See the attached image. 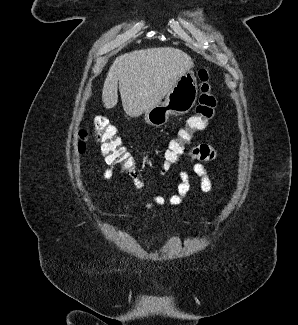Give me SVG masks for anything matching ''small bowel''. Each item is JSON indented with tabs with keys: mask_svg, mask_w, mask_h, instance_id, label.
I'll return each instance as SVG.
<instances>
[{
	"mask_svg": "<svg viewBox=\"0 0 298 325\" xmlns=\"http://www.w3.org/2000/svg\"><path fill=\"white\" fill-rule=\"evenodd\" d=\"M190 160L194 161L193 171L200 178V188L203 192L208 193L212 189L213 179L208 174L204 162L212 161L216 157V153L212 147L206 144H200L193 147L188 154ZM106 160V159H105ZM107 164L110 165L103 176L105 179H110L113 176V167L115 165L109 163L106 160ZM180 183L177 187V193L169 196L168 198L163 196H156L152 203L145 205V209H152L153 206L159 205H169V206H178L182 203L184 196L190 190L189 174L186 171H181L179 174Z\"/></svg>",
	"mask_w": 298,
	"mask_h": 325,
	"instance_id": "c3829d8e",
	"label": "small bowel"
}]
</instances>
